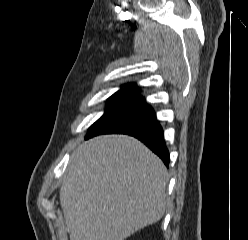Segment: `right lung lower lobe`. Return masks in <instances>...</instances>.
<instances>
[{"label": "right lung lower lobe", "instance_id": "1", "mask_svg": "<svg viewBox=\"0 0 248 240\" xmlns=\"http://www.w3.org/2000/svg\"><path fill=\"white\" fill-rule=\"evenodd\" d=\"M111 133L127 134L139 139L168 166L170 158L162 127L145 101L134 103L103 119L89 131L85 139Z\"/></svg>", "mask_w": 248, "mask_h": 240}]
</instances>
